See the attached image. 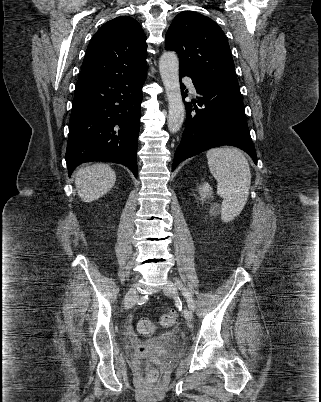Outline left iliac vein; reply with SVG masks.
Listing matches in <instances>:
<instances>
[{"label":"left iliac vein","instance_id":"1","mask_svg":"<svg viewBox=\"0 0 321 402\" xmlns=\"http://www.w3.org/2000/svg\"><path fill=\"white\" fill-rule=\"evenodd\" d=\"M163 291L168 296H175L177 294V288L172 281H167L166 285L163 287ZM183 314L187 321H192L193 313L190 308H185Z\"/></svg>","mask_w":321,"mask_h":402}]
</instances>
